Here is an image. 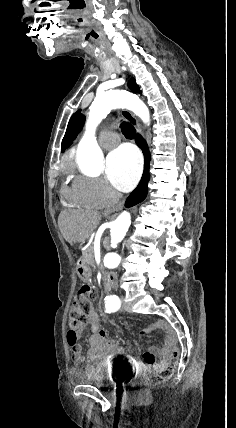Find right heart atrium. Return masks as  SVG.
I'll return each mask as SVG.
<instances>
[{
  "mask_svg": "<svg viewBox=\"0 0 236 428\" xmlns=\"http://www.w3.org/2000/svg\"><path fill=\"white\" fill-rule=\"evenodd\" d=\"M78 198L91 206H107L116 202L119 194L105 180L79 176L74 181Z\"/></svg>",
  "mask_w": 236,
  "mask_h": 428,
  "instance_id": "right-heart-atrium-1",
  "label": "right heart atrium"
}]
</instances>
